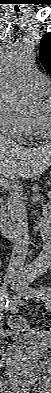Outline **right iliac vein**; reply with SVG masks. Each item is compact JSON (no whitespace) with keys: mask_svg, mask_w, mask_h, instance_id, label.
<instances>
[{"mask_svg":"<svg viewBox=\"0 0 51 393\" xmlns=\"http://www.w3.org/2000/svg\"><path fill=\"white\" fill-rule=\"evenodd\" d=\"M15 281H16V277H15V275H14L13 273H8V274L5 276V282H6L7 284H14Z\"/></svg>","mask_w":51,"mask_h":393,"instance_id":"1","label":"right iliac vein"}]
</instances>
